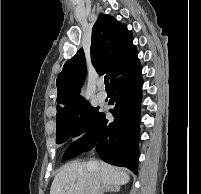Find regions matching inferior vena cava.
<instances>
[{
  "label": "inferior vena cava",
  "instance_id": "602c4592",
  "mask_svg": "<svg viewBox=\"0 0 201 194\" xmlns=\"http://www.w3.org/2000/svg\"><path fill=\"white\" fill-rule=\"evenodd\" d=\"M88 166L91 169V174H90L89 182L87 184L86 194H99L100 185H101L99 171H98L99 164L96 161H90L88 163Z\"/></svg>",
  "mask_w": 201,
  "mask_h": 194
}]
</instances>
